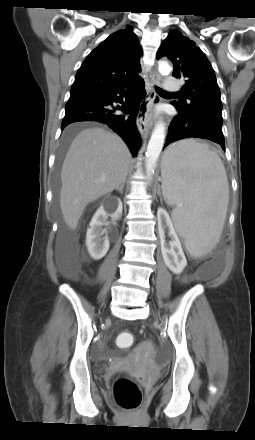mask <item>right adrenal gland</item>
<instances>
[{"label":"right adrenal gland","mask_w":255,"mask_h":440,"mask_svg":"<svg viewBox=\"0 0 255 440\" xmlns=\"http://www.w3.org/2000/svg\"><path fill=\"white\" fill-rule=\"evenodd\" d=\"M125 184H126V180H124V181L121 183V185H120L119 187L116 188V191H119L121 194H123V189H124Z\"/></svg>","instance_id":"obj_1"}]
</instances>
